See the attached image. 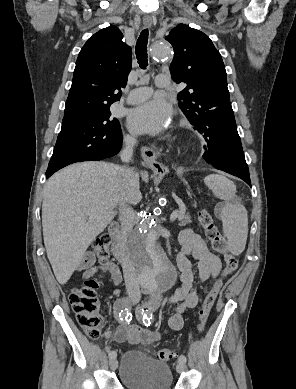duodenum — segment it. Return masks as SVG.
I'll return each mask as SVG.
<instances>
[{
  "label": "duodenum",
  "mask_w": 296,
  "mask_h": 389,
  "mask_svg": "<svg viewBox=\"0 0 296 389\" xmlns=\"http://www.w3.org/2000/svg\"><path fill=\"white\" fill-rule=\"evenodd\" d=\"M109 234L112 238V252L116 260L123 266L128 262L125 245L120 233V227L117 222H112L108 227Z\"/></svg>",
  "instance_id": "410a0bca"
}]
</instances>
